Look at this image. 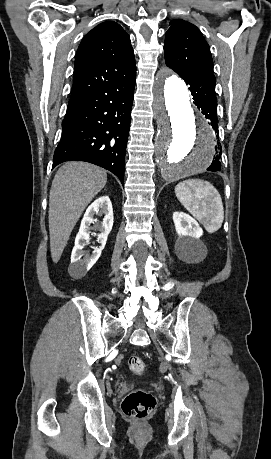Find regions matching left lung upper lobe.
<instances>
[{"instance_id": "1", "label": "left lung upper lobe", "mask_w": 271, "mask_h": 459, "mask_svg": "<svg viewBox=\"0 0 271 459\" xmlns=\"http://www.w3.org/2000/svg\"><path fill=\"white\" fill-rule=\"evenodd\" d=\"M164 56L166 65L179 75H213L210 47L199 29L188 21L170 22L165 34Z\"/></svg>"}]
</instances>
